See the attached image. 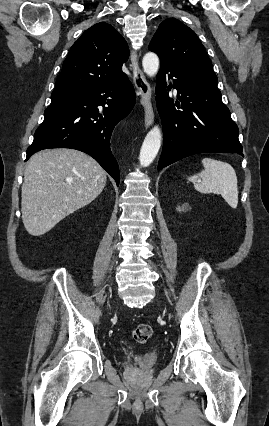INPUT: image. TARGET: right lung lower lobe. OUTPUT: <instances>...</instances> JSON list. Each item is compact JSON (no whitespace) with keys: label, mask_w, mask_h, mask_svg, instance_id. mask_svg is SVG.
Masks as SVG:
<instances>
[{"label":"right lung lower lobe","mask_w":269,"mask_h":426,"mask_svg":"<svg viewBox=\"0 0 269 426\" xmlns=\"http://www.w3.org/2000/svg\"><path fill=\"white\" fill-rule=\"evenodd\" d=\"M135 100L127 76L77 91L71 99L45 110L26 160L42 149H77L92 156L119 185V167L110 149L111 135L117 123L130 113ZM105 105L108 107L101 112L98 107Z\"/></svg>","instance_id":"1"}]
</instances>
